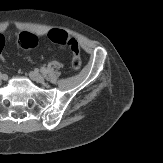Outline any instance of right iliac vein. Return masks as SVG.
<instances>
[{
  "instance_id": "right-iliac-vein-1",
  "label": "right iliac vein",
  "mask_w": 163,
  "mask_h": 163,
  "mask_svg": "<svg viewBox=\"0 0 163 163\" xmlns=\"http://www.w3.org/2000/svg\"><path fill=\"white\" fill-rule=\"evenodd\" d=\"M4 78V76L2 74H0V81Z\"/></svg>"
}]
</instances>
